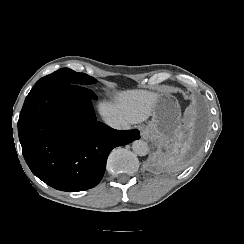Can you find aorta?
Wrapping results in <instances>:
<instances>
[{"mask_svg":"<svg viewBox=\"0 0 244 244\" xmlns=\"http://www.w3.org/2000/svg\"><path fill=\"white\" fill-rule=\"evenodd\" d=\"M132 150L138 156H145L149 152V147L145 141L136 140L132 143Z\"/></svg>","mask_w":244,"mask_h":244,"instance_id":"aorta-1","label":"aorta"}]
</instances>
